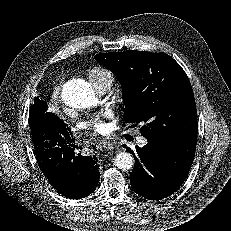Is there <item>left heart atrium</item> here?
I'll list each match as a JSON object with an SVG mask.
<instances>
[{
    "mask_svg": "<svg viewBox=\"0 0 231 231\" xmlns=\"http://www.w3.org/2000/svg\"><path fill=\"white\" fill-rule=\"evenodd\" d=\"M111 117L112 113L109 111L100 112L86 121L84 123V127L93 130L94 132L105 134L110 129V126L106 120L110 119Z\"/></svg>",
    "mask_w": 231,
    "mask_h": 231,
    "instance_id": "39dd6f15",
    "label": "left heart atrium"
}]
</instances>
